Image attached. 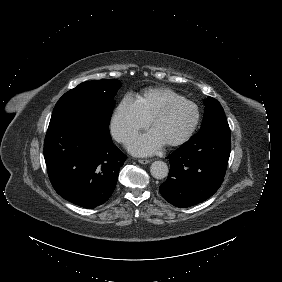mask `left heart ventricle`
<instances>
[{
	"instance_id": "b2bd125f",
	"label": "left heart ventricle",
	"mask_w": 282,
	"mask_h": 282,
	"mask_svg": "<svg viewBox=\"0 0 282 282\" xmlns=\"http://www.w3.org/2000/svg\"><path fill=\"white\" fill-rule=\"evenodd\" d=\"M170 101H165L159 108L167 107ZM193 119V110L189 106L174 108L159 119L154 129L159 133L164 142L179 138L189 127Z\"/></svg>"
}]
</instances>
